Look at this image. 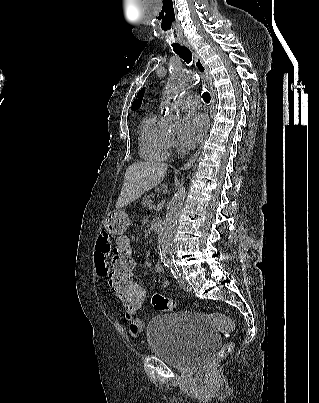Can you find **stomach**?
I'll return each instance as SVG.
<instances>
[{
  "label": "stomach",
  "instance_id": "obj_1",
  "mask_svg": "<svg viewBox=\"0 0 319 403\" xmlns=\"http://www.w3.org/2000/svg\"><path fill=\"white\" fill-rule=\"evenodd\" d=\"M130 225L128 215L122 210H114L106 216L104 228L110 234H124Z\"/></svg>",
  "mask_w": 319,
  "mask_h": 403
}]
</instances>
